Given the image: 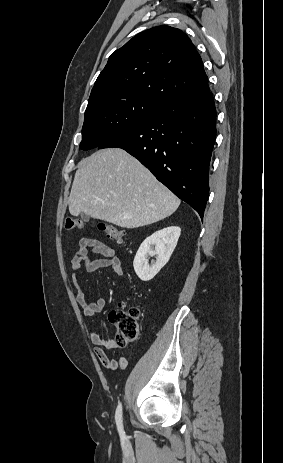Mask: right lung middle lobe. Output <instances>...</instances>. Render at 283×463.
Returning a JSON list of instances; mask_svg holds the SVG:
<instances>
[{
  "mask_svg": "<svg viewBox=\"0 0 283 463\" xmlns=\"http://www.w3.org/2000/svg\"><path fill=\"white\" fill-rule=\"evenodd\" d=\"M160 105L125 91L110 92L89 100L80 148L99 147L122 131L143 121Z\"/></svg>",
  "mask_w": 283,
  "mask_h": 463,
  "instance_id": "1",
  "label": "right lung middle lobe"
}]
</instances>
